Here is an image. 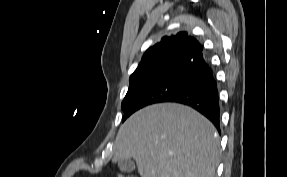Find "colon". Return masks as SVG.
<instances>
[{"instance_id": "1", "label": "colon", "mask_w": 287, "mask_h": 177, "mask_svg": "<svg viewBox=\"0 0 287 177\" xmlns=\"http://www.w3.org/2000/svg\"><path fill=\"white\" fill-rule=\"evenodd\" d=\"M115 177H136V176H130V175H124V174H117Z\"/></svg>"}]
</instances>
